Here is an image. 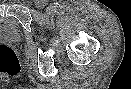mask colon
<instances>
[{"mask_svg": "<svg viewBox=\"0 0 131 89\" xmlns=\"http://www.w3.org/2000/svg\"><path fill=\"white\" fill-rule=\"evenodd\" d=\"M20 70V65L15 52L0 45V74L16 75Z\"/></svg>", "mask_w": 131, "mask_h": 89, "instance_id": "obj_1", "label": "colon"}]
</instances>
